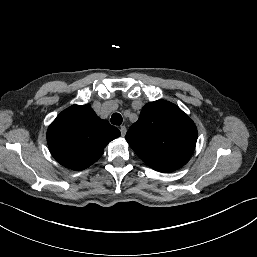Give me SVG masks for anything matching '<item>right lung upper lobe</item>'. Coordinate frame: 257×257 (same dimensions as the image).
Segmentation results:
<instances>
[{"label": "right lung upper lobe", "mask_w": 257, "mask_h": 257, "mask_svg": "<svg viewBox=\"0 0 257 257\" xmlns=\"http://www.w3.org/2000/svg\"><path fill=\"white\" fill-rule=\"evenodd\" d=\"M120 131L101 120L89 104L72 105L62 111L47 131L53 157L63 166L83 170L96 162Z\"/></svg>", "instance_id": "obj_1"}]
</instances>
